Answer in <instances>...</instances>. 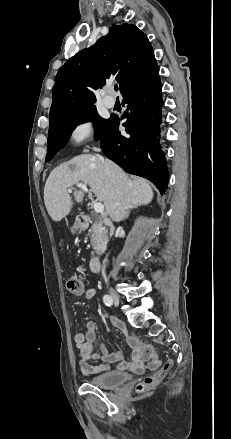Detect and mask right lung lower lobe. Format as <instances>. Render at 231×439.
<instances>
[{"instance_id":"right-lung-lower-lobe-1","label":"right lung lower lobe","mask_w":231,"mask_h":439,"mask_svg":"<svg viewBox=\"0 0 231 439\" xmlns=\"http://www.w3.org/2000/svg\"><path fill=\"white\" fill-rule=\"evenodd\" d=\"M159 73L123 96L127 118L119 131L120 119L111 117L100 145L107 156L126 172L153 182L161 194L168 185L167 162L160 146V122L163 106Z\"/></svg>"}]
</instances>
